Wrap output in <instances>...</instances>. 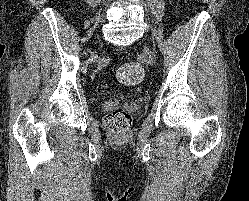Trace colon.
Masks as SVG:
<instances>
[{
	"label": "colon",
	"mask_w": 249,
	"mask_h": 201,
	"mask_svg": "<svg viewBox=\"0 0 249 201\" xmlns=\"http://www.w3.org/2000/svg\"><path fill=\"white\" fill-rule=\"evenodd\" d=\"M143 76L144 70L137 63L124 64L117 71L118 80L126 86L140 83ZM131 122V115L122 107L112 110L105 117V126L114 138H124L130 129Z\"/></svg>",
	"instance_id": "obj_1"
}]
</instances>
